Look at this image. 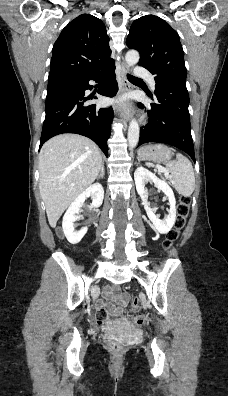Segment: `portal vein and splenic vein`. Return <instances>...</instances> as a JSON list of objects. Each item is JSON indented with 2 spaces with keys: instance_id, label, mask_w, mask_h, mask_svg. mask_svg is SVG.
<instances>
[{
  "instance_id": "18ae733b",
  "label": "portal vein and splenic vein",
  "mask_w": 228,
  "mask_h": 396,
  "mask_svg": "<svg viewBox=\"0 0 228 396\" xmlns=\"http://www.w3.org/2000/svg\"><path fill=\"white\" fill-rule=\"evenodd\" d=\"M158 170H159L160 172H164V171H165V169H164L163 167H158Z\"/></svg>"
}]
</instances>
